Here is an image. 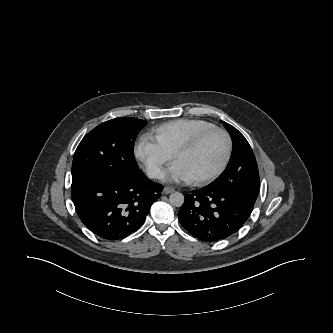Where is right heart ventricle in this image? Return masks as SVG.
I'll return each instance as SVG.
<instances>
[{"instance_id":"1","label":"right heart ventricle","mask_w":333,"mask_h":333,"mask_svg":"<svg viewBox=\"0 0 333 333\" xmlns=\"http://www.w3.org/2000/svg\"><path fill=\"white\" fill-rule=\"evenodd\" d=\"M215 126L203 119L181 118L166 122L153 129L156 143L170 155L196 134Z\"/></svg>"}]
</instances>
